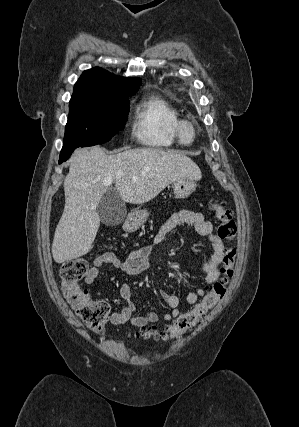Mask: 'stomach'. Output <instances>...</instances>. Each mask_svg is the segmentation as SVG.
Here are the masks:
<instances>
[{
  "instance_id": "obj_1",
  "label": "stomach",
  "mask_w": 299,
  "mask_h": 427,
  "mask_svg": "<svg viewBox=\"0 0 299 427\" xmlns=\"http://www.w3.org/2000/svg\"><path fill=\"white\" fill-rule=\"evenodd\" d=\"M196 189V182L193 179H179L173 182V192L176 199L188 198ZM149 217L146 209H138L129 214L126 220L127 230H137Z\"/></svg>"
}]
</instances>
